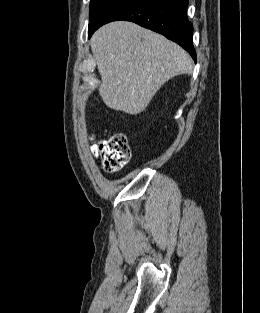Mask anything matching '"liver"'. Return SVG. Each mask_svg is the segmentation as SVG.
<instances>
[{"instance_id":"1","label":"liver","mask_w":260,"mask_h":313,"mask_svg":"<svg viewBox=\"0 0 260 313\" xmlns=\"http://www.w3.org/2000/svg\"><path fill=\"white\" fill-rule=\"evenodd\" d=\"M91 49L102 79L103 102L130 115L144 111L167 80L193 69L191 57L178 44L127 21L98 29Z\"/></svg>"}]
</instances>
